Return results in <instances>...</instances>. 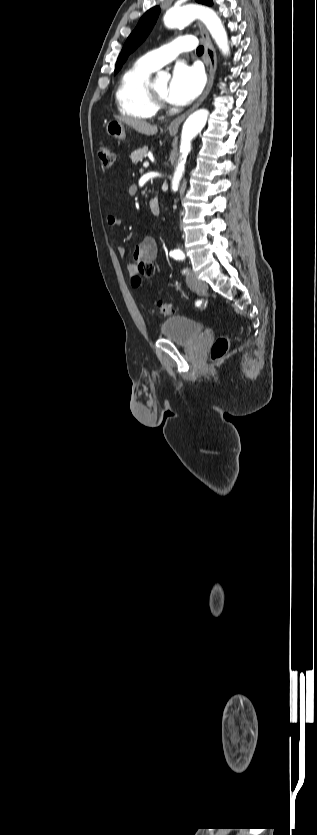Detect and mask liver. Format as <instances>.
I'll list each match as a JSON object with an SVG mask.
<instances>
[{"mask_svg": "<svg viewBox=\"0 0 317 835\" xmlns=\"http://www.w3.org/2000/svg\"><path fill=\"white\" fill-rule=\"evenodd\" d=\"M118 120L131 126L135 131H137L140 134L150 136L158 132V128L156 125H151L150 123L143 120L126 118H118Z\"/></svg>", "mask_w": 317, "mask_h": 835, "instance_id": "liver-1", "label": "liver"}]
</instances>
